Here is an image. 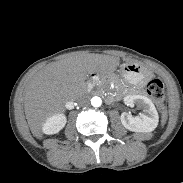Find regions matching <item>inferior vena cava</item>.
Masks as SVG:
<instances>
[{"instance_id":"obj_1","label":"inferior vena cava","mask_w":183,"mask_h":183,"mask_svg":"<svg viewBox=\"0 0 183 183\" xmlns=\"http://www.w3.org/2000/svg\"><path fill=\"white\" fill-rule=\"evenodd\" d=\"M77 102L80 105H87L89 103V98L87 96H80L79 98H77Z\"/></svg>"}]
</instances>
